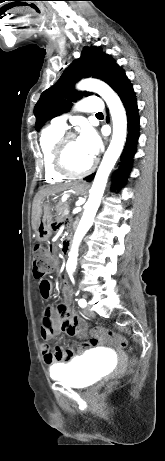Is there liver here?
Returning <instances> with one entry per match:
<instances>
[{"mask_svg": "<svg viewBox=\"0 0 165 461\" xmlns=\"http://www.w3.org/2000/svg\"><path fill=\"white\" fill-rule=\"evenodd\" d=\"M74 185L75 184L51 186V187H47L45 189L40 190L36 194L33 200V205H32V228L33 230H36L37 225L39 223L40 216H41V210H42V203H43L44 198L46 196L48 197L50 195H55L69 188H73Z\"/></svg>", "mask_w": 165, "mask_h": 461, "instance_id": "liver-1", "label": "liver"}]
</instances>
